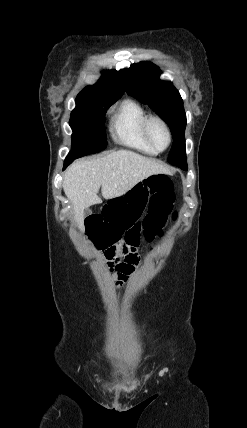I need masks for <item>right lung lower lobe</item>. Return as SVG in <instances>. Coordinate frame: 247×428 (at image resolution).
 Here are the masks:
<instances>
[{"label": "right lung lower lobe", "instance_id": "obj_1", "mask_svg": "<svg viewBox=\"0 0 247 428\" xmlns=\"http://www.w3.org/2000/svg\"><path fill=\"white\" fill-rule=\"evenodd\" d=\"M74 160H75L74 158H72V159H66V160L64 161V167H63V170H64L68 165H70Z\"/></svg>", "mask_w": 247, "mask_h": 428}]
</instances>
